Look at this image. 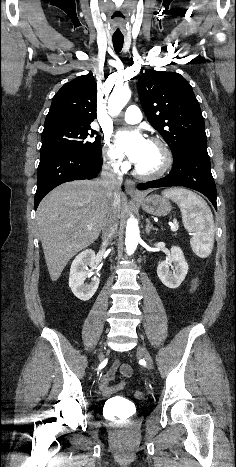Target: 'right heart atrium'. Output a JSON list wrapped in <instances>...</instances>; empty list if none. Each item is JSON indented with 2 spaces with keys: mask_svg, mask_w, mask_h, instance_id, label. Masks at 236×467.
Listing matches in <instances>:
<instances>
[{
  "mask_svg": "<svg viewBox=\"0 0 236 467\" xmlns=\"http://www.w3.org/2000/svg\"><path fill=\"white\" fill-rule=\"evenodd\" d=\"M102 151L104 162L112 170L120 171L125 167V162L122 160L109 138H104Z\"/></svg>",
  "mask_w": 236,
  "mask_h": 467,
  "instance_id": "d8ad5b80",
  "label": "right heart atrium"
}]
</instances>
